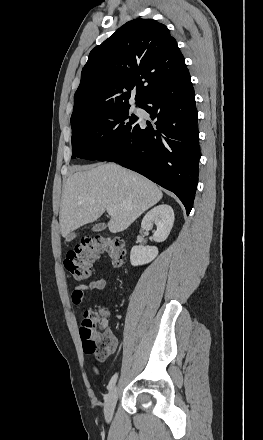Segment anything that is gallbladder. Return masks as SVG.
Listing matches in <instances>:
<instances>
[{"mask_svg":"<svg viewBox=\"0 0 263 440\" xmlns=\"http://www.w3.org/2000/svg\"><path fill=\"white\" fill-rule=\"evenodd\" d=\"M103 229H105V224H104V223H99V224L95 225V226L92 228V231H94V232H98V231H102ZM75 237H76V234H75V233H71V234L66 238V241H67V242H71L73 239H75Z\"/></svg>","mask_w":263,"mask_h":440,"instance_id":"obj_1","label":"gallbladder"}]
</instances>
